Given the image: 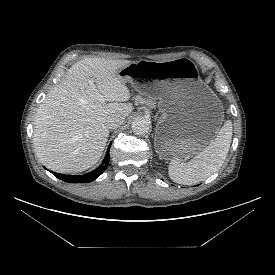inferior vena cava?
<instances>
[{
    "instance_id": "obj_1",
    "label": "inferior vena cava",
    "mask_w": 275,
    "mask_h": 275,
    "mask_svg": "<svg viewBox=\"0 0 275 275\" xmlns=\"http://www.w3.org/2000/svg\"><path fill=\"white\" fill-rule=\"evenodd\" d=\"M124 122V117L119 114H113L108 117L106 121V126L108 129H115L122 125Z\"/></svg>"
}]
</instances>
